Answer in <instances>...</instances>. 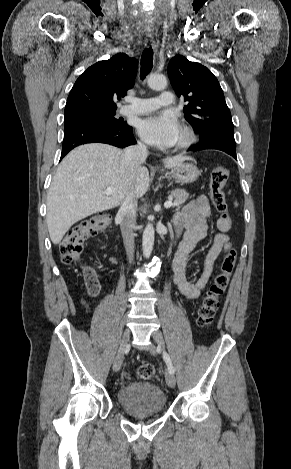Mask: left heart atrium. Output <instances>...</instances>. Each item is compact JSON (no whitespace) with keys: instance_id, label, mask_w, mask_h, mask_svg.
Here are the masks:
<instances>
[{"instance_id":"left-heart-atrium-1","label":"left heart atrium","mask_w":291,"mask_h":469,"mask_svg":"<svg viewBox=\"0 0 291 469\" xmlns=\"http://www.w3.org/2000/svg\"><path fill=\"white\" fill-rule=\"evenodd\" d=\"M138 133L147 143L164 148L177 143L180 126L171 114L160 113L143 118L138 124Z\"/></svg>"}]
</instances>
